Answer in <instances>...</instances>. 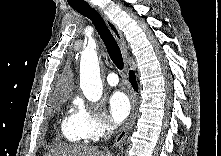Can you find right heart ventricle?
<instances>
[{
	"instance_id": "right-heart-ventricle-1",
	"label": "right heart ventricle",
	"mask_w": 221,
	"mask_h": 156,
	"mask_svg": "<svg viewBox=\"0 0 221 156\" xmlns=\"http://www.w3.org/2000/svg\"><path fill=\"white\" fill-rule=\"evenodd\" d=\"M61 130L64 137L71 143H79L82 140L74 115L63 118Z\"/></svg>"
}]
</instances>
